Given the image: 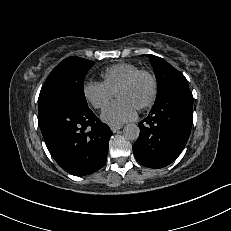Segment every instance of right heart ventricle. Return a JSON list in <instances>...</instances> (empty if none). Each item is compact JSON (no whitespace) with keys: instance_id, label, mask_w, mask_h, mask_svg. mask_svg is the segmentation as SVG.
<instances>
[{"instance_id":"1","label":"right heart ventricle","mask_w":231,"mask_h":231,"mask_svg":"<svg viewBox=\"0 0 231 231\" xmlns=\"http://www.w3.org/2000/svg\"><path fill=\"white\" fill-rule=\"evenodd\" d=\"M139 67L132 63H116L105 68L102 73V82L110 89L113 93L117 87L131 74L138 71Z\"/></svg>"}]
</instances>
